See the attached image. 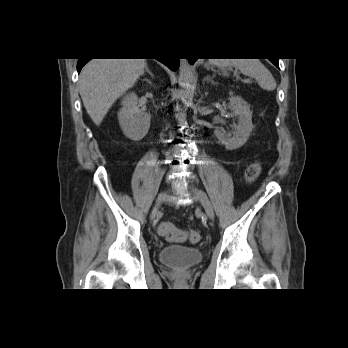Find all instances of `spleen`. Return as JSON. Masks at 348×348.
<instances>
[{"mask_svg":"<svg viewBox=\"0 0 348 348\" xmlns=\"http://www.w3.org/2000/svg\"><path fill=\"white\" fill-rule=\"evenodd\" d=\"M210 63L219 67L224 76L234 67L245 75L256 79L258 85L267 91L276 89V81L271 72L258 59H211Z\"/></svg>","mask_w":348,"mask_h":348,"instance_id":"obj_1","label":"spleen"}]
</instances>
